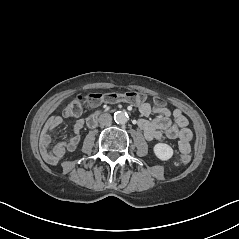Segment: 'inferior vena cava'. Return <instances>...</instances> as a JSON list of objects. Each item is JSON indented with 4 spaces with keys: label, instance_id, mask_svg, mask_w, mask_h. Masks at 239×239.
Listing matches in <instances>:
<instances>
[{
    "label": "inferior vena cava",
    "instance_id": "inferior-vena-cava-1",
    "mask_svg": "<svg viewBox=\"0 0 239 239\" xmlns=\"http://www.w3.org/2000/svg\"><path fill=\"white\" fill-rule=\"evenodd\" d=\"M98 122L103 126H109L112 122V116L109 113L101 114Z\"/></svg>",
    "mask_w": 239,
    "mask_h": 239
}]
</instances>
